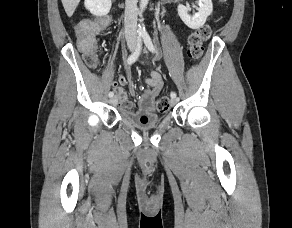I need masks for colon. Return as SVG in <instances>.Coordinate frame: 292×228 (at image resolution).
Listing matches in <instances>:
<instances>
[{
	"instance_id": "5ec220e1",
	"label": "colon",
	"mask_w": 292,
	"mask_h": 228,
	"mask_svg": "<svg viewBox=\"0 0 292 228\" xmlns=\"http://www.w3.org/2000/svg\"><path fill=\"white\" fill-rule=\"evenodd\" d=\"M222 3L226 0H220ZM109 24V18H103L95 22H86L78 26L77 42L80 50L83 52L84 60L89 67H96L99 62L97 43L95 33L97 30L106 27ZM212 35V29L209 25H204L195 30L188 38V56L197 61L204 53V43ZM169 98L162 96L157 100L156 107L159 112H165L169 108Z\"/></svg>"
}]
</instances>
